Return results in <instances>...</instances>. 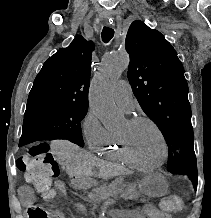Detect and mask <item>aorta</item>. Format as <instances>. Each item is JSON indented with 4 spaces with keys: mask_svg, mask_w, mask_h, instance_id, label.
<instances>
[{
    "mask_svg": "<svg viewBox=\"0 0 211 218\" xmlns=\"http://www.w3.org/2000/svg\"><path fill=\"white\" fill-rule=\"evenodd\" d=\"M128 65L129 56L126 52L108 55L91 82L90 106L105 128L111 131L121 129L124 123V117L114 103L112 88Z\"/></svg>",
    "mask_w": 211,
    "mask_h": 218,
    "instance_id": "aorta-1",
    "label": "aorta"
}]
</instances>
